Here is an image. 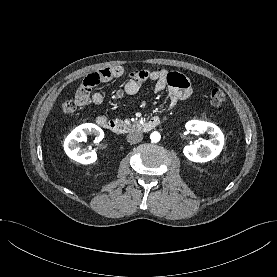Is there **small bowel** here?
<instances>
[{
  "mask_svg": "<svg viewBox=\"0 0 277 277\" xmlns=\"http://www.w3.org/2000/svg\"><path fill=\"white\" fill-rule=\"evenodd\" d=\"M123 74L124 69L121 66L108 67L89 74L76 89L75 99L78 105H101L104 102L103 94L100 92H92V89L102 83L119 78ZM147 80L155 83L156 93L167 92L169 108H173L179 102L186 100L192 93L191 83L186 76L179 72L158 68L155 70L137 69L132 71L129 80L125 82L122 88L116 90L115 96L117 98H123L125 95H135ZM102 118L106 117L104 115H98L96 122Z\"/></svg>",
  "mask_w": 277,
  "mask_h": 277,
  "instance_id": "obj_1",
  "label": "small bowel"
}]
</instances>
